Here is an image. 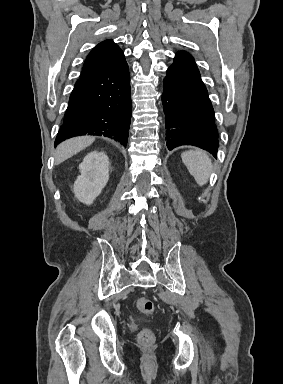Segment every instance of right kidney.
<instances>
[{
    "mask_svg": "<svg viewBox=\"0 0 283 384\" xmlns=\"http://www.w3.org/2000/svg\"><path fill=\"white\" fill-rule=\"evenodd\" d=\"M78 176L73 192L83 204H93L109 180V160L104 152H90L79 164Z\"/></svg>",
    "mask_w": 283,
    "mask_h": 384,
    "instance_id": "ca27d5eb",
    "label": "right kidney"
}]
</instances>
